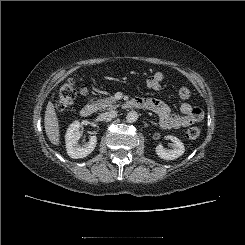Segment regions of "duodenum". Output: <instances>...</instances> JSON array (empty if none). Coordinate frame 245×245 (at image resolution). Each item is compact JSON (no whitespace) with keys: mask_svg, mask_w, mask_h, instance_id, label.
Instances as JSON below:
<instances>
[{"mask_svg":"<svg viewBox=\"0 0 245 245\" xmlns=\"http://www.w3.org/2000/svg\"><path fill=\"white\" fill-rule=\"evenodd\" d=\"M142 107L147 108V106L141 100H131L123 104L124 109H134V108H142ZM94 112H95V106L92 104H86L80 110V114L83 117H90Z\"/></svg>","mask_w":245,"mask_h":245,"instance_id":"duodenum-1","label":"duodenum"}]
</instances>
